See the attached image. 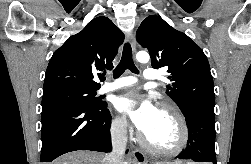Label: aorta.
Here are the masks:
<instances>
[{
	"label": "aorta",
	"instance_id": "aorta-1",
	"mask_svg": "<svg viewBox=\"0 0 251 164\" xmlns=\"http://www.w3.org/2000/svg\"><path fill=\"white\" fill-rule=\"evenodd\" d=\"M136 59L141 63H147L150 59L149 54L145 51H139L136 54Z\"/></svg>",
	"mask_w": 251,
	"mask_h": 164
}]
</instances>
